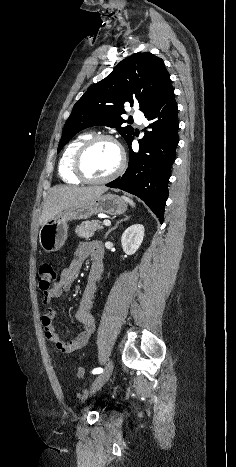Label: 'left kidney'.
Returning a JSON list of instances; mask_svg holds the SVG:
<instances>
[{"instance_id": "5707ae66", "label": "left kidney", "mask_w": 236, "mask_h": 467, "mask_svg": "<svg viewBox=\"0 0 236 467\" xmlns=\"http://www.w3.org/2000/svg\"><path fill=\"white\" fill-rule=\"evenodd\" d=\"M144 231V226L141 224L132 225L125 230L121 237V244L127 255H132L138 250L143 242Z\"/></svg>"}]
</instances>
